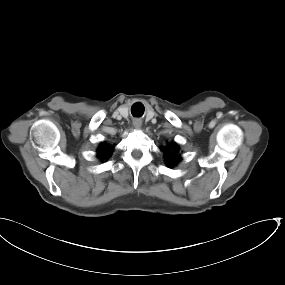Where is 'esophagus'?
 <instances>
[{"label":"esophagus","mask_w":285,"mask_h":285,"mask_svg":"<svg viewBox=\"0 0 285 285\" xmlns=\"http://www.w3.org/2000/svg\"><path fill=\"white\" fill-rule=\"evenodd\" d=\"M133 126L135 129H140L142 126V121L140 119H135L133 121Z\"/></svg>","instance_id":"34e87169"}]
</instances>
